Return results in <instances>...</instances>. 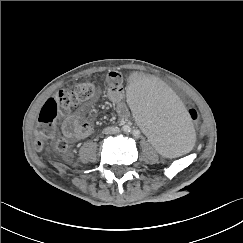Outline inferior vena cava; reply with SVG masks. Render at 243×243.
<instances>
[{
  "mask_svg": "<svg viewBox=\"0 0 243 243\" xmlns=\"http://www.w3.org/2000/svg\"><path fill=\"white\" fill-rule=\"evenodd\" d=\"M104 132L106 134H114V133H117L119 132V128L118 127H107Z\"/></svg>",
  "mask_w": 243,
  "mask_h": 243,
  "instance_id": "inferior-vena-cava-1",
  "label": "inferior vena cava"
}]
</instances>
